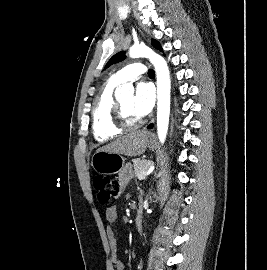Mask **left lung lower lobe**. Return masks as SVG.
Here are the masks:
<instances>
[{"label":"left lung lower lobe","instance_id":"obj_1","mask_svg":"<svg viewBox=\"0 0 267 270\" xmlns=\"http://www.w3.org/2000/svg\"><path fill=\"white\" fill-rule=\"evenodd\" d=\"M152 127H153V124H150V125L148 126L149 129L152 128Z\"/></svg>","mask_w":267,"mask_h":270}]
</instances>
